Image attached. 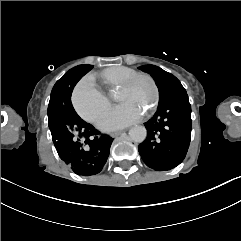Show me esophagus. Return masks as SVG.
Instances as JSON below:
<instances>
[{"label": "esophagus", "mask_w": 241, "mask_h": 241, "mask_svg": "<svg viewBox=\"0 0 241 241\" xmlns=\"http://www.w3.org/2000/svg\"><path fill=\"white\" fill-rule=\"evenodd\" d=\"M122 133H123L122 130H121V131H115V132H112V133L110 134V137L115 138V137L121 135Z\"/></svg>", "instance_id": "34e87169"}]
</instances>
